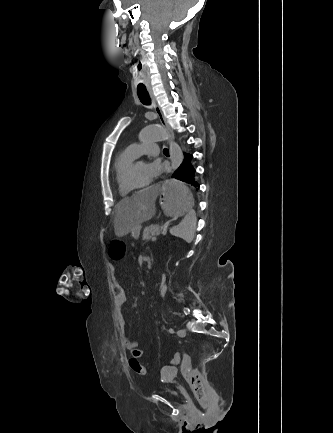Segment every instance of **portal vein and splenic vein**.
Returning <instances> with one entry per match:
<instances>
[{"mask_svg": "<svg viewBox=\"0 0 333 433\" xmlns=\"http://www.w3.org/2000/svg\"><path fill=\"white\" fill-rule=\"evenodd\" d=\"M165 232H166V226H163L162 227V233H165ZM151 239H152V241H156L157 240L156 237H152Z\"/></svg>", "mask_w": 333, "mask_h": 433, "instance_id": "obj_1", "label": "portal vein and splenic vein"}]
</instances>
